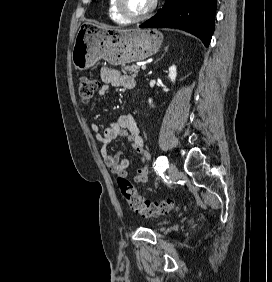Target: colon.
I'll list each match as a JSON object with an SVG mask.
<instances>
[{
  "label": "colon",
  "instance_id": "colon-1",
  "mask_svg": "<svg viewBox=\"0 0 272 282\" xmlns=\"http://www.w3.org/2000/svg\"><path fill=\"white\" fill-rule=\"evenodd\" d=\"M100 88V83L95 79L82 76L78 80V96L84 103L92 101L96 92ZM118 186L120 193L127 202L128 206L134 212L143 217H158L171 212L175 207V203L171 199L161 202H150L144 200L138 193L135 186L125 176L119 175Z\"/></svg>",
  "mask_w": 272,
  "mask_h": 282
}]
</instances>
